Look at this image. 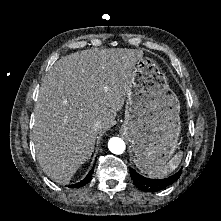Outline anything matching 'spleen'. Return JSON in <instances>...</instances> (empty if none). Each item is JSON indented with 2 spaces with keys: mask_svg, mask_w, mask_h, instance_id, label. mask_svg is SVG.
<instances>
[{
  "mask_svg": "<svg viewBox=\"0 0 221 221\" xmlns=\"http://www.w3.org/2000/svg\"><path fill=\"white\" fill-rule=\"evenodd\" d=\"M183 153L180 151L174 155L167 163L156 169L148 170L146 173L151 178H162L167 176L169 173L173 172L180 164Z\"/></svg>",
  "mask_w": 221,
  "mask_h": 221,
  "instance_id": "3e777b00",
  "label": "spleen"
}]
</instances>
